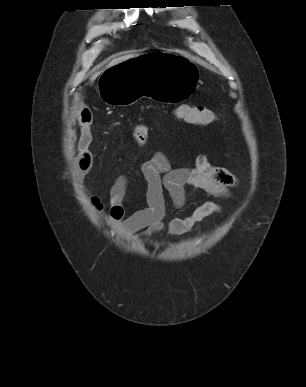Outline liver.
Returning <instances> with one entry per match:
<instances>
[{
	"label": "liver",
	"mask_w": 306,
	"mask_h": 387,
	"mask_svg": "<svg viewBox=\"0 0 306 387\" xmlns=\"http://www.w3.org/2000/svg\"><path fill=\"white\" fill-rule=\"evenodd\" d=\"M136 56L138 55H134V54H130V55H125V56H121V57H118V58H115L113 59L109 64H108V67H112V66H115L121 62H124L126 60H129L131 58H135ZM97 75H94L91 80H94L96 78Z\"/></svg>",
	"instance_id": "1"
}]
</instances>
